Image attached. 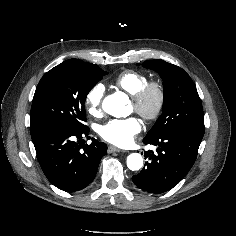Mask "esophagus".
<instances>
[{
	"instance_id": "obj_1",
	"label": "esophagus",
	"mask_w": 236,
	"mask_h": 236,
	"mask_svg": "<svg viewBox=\"0 0 236 236\" xmlns=\"http://www.w3.org/2000/svg\"><path fill=\"white\" fill-rule=\"evenodd\" d=\"M114 152H124V150H121L113 145L108 146V153H114Z\"/></svg>"
}]
</instances>
